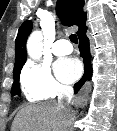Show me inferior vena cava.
I'll use <instances>...</instances> for the list:
<instances>
[{"instance_id": "obj_1", "label": "inferior vena cava", "mask_w": 117, "mask_h": 131, "mask_svg": "<svg viewBox=\"0 0 117 131\" xmlns=\"http://www.w3.org/2000/svg\"><path fill=\"white\" fill-rule=\"evenodd\" d=\"M73 94L74 91L71 86H60L58 93V104L61 107H63L69 113L70 116H72V110L69 104L73 98Z\"/></svg>"}]
</instances>
